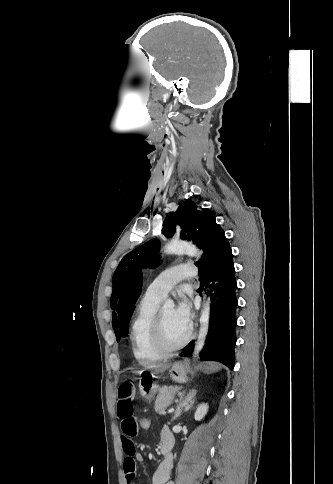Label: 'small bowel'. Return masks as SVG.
<instances>
[{"instance_id": "c3829d8e", "label": "small bowel", "mask_w": 333, "mask_h": 484, "mask_svg": "<svg viewBox=\"0 0 333 484\" xmlns=\"http://www.w3.org/2000/svg\"><path fill=\"white\" fill-rule=\"evenodd\" d=\"M136 387L131 381H124L120 384L117 392V417L121 425V442L123 451L126 454L123 467L127 484H136L135 472L136 463L143 462L144 457L136 450L134 438L138 435L139 428L135 415L134 400ZM160 441H170L173 444V436L167 427L160 432ZM172 458L168 463L162 462L156 469L152 484H174L170 480Z\"/></svg>"}]
</instances>
